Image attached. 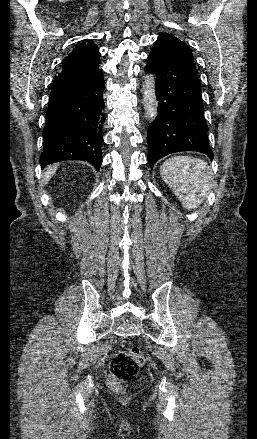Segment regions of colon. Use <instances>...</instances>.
Returning <instances> with one entry per match:
<instances>
[{
	"label": "colon",
	"mask_w": 257,
	"mask_h": 439,
	"mask_svg": "<svg viewBox=\"0 0 257 439\" xmlns=\"http://www.w3.org/2000/svg\"><path fill=\"white\" fill-rule=\"evenodd\" d=\"M145 358L138 347H132L114 355L110 365V385L120 390L124 382L134 379Z\"/></svg>",
	"instance_id": "1"
}]
</instances>
